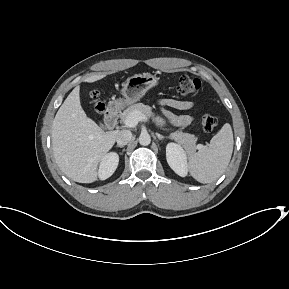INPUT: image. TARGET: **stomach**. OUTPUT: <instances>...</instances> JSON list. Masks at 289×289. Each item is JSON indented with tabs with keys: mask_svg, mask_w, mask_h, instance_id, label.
<instances>
[{
	"mask_svg": "<svg viewBox=\"0 0 289 289\" xmlns=\"http://www.w3.org/2000/svg\"><path fill=\"white\" fill-rule=\"evenodd\" d=\"M159 78L150 73L135 74L129 77L123 84L121 90L122 98L114 100L110 106L114 108H122L125 105H131L139 101L146 92L157 86Z\"/></svg>",
	"mask_w": 289,
	"mask_h": 289,
	"instance_id": "obj_1",
	"label": "stomach"
}]
</instances>
